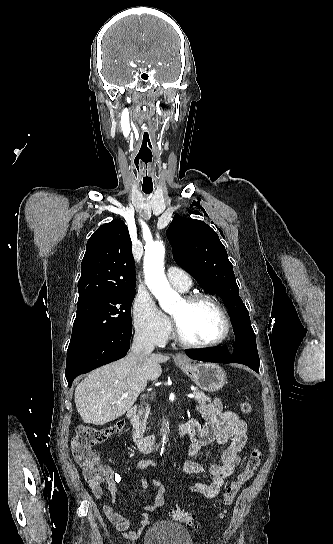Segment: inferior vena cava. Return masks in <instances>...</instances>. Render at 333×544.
<instances>
[{"label": "inferior vena cava", "instance_id": "inferior-vena-cava-1", "mask_svg": "<svg viewBox=\"0 0 333 544\" xmlns=\"http://www.w3.org/2000/svg\"><path fill=\"white\" fill-rule=\"evenodd\" d=\"M155 337L149 330L137 329L135 331L132 352L137 360L142 364L154 350Z\"/></svg>", "mask_w": 333, "mask_h": 544}]
</instances>
